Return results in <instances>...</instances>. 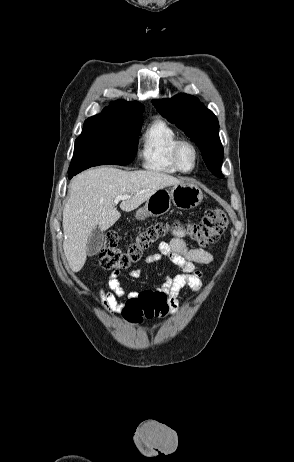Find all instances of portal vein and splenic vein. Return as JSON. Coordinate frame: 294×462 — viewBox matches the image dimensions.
I'll list each match as a JSON object with an SVG mask.
<instances>
[{
    "mask_svg": "<svg viewBox=\"0 0 294 462\" xmlns=\"http://www.w3.org/2000/svg\"><path fill=\"white\" fill-rule=\"evenodd\" d=\"M131 196L130 195H121V196H117L114 200V203H118L120 200H125V199H128L130 198Z\"/></svg>",
    "mask_w": 294,
    "mask_h": 462,
    "instance_id": "obj_1",
    "label": "portal vein and splenic vein"
}]
</instances>
